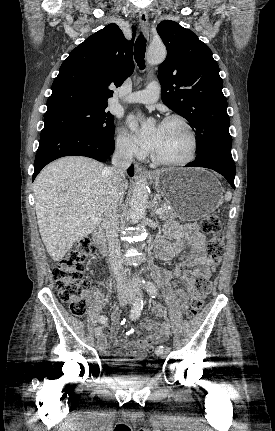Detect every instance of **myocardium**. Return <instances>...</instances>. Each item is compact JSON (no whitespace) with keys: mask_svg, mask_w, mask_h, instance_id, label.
<instances>
[{"mask_svg":"<svg viewBox=\"0 0 275 431\" xmlns=\"http://www.w3.org/2000/svg\"><path fill=\"white\" fill-rule=\"evenodd\" d=\"M177 122L181 124L184 129L187 131L189 139H190V149L188 155L177 161H168L160 158L154 151L151 154V158L154 163L164 167H181L190 164L196 157L198 151V139L197 135L191 126V124L182 116L179 115H171L164 119L163 124Z\"/></svg>","mask_w":275,"mask_h":431,"instance_id":"f54148a6","label":"myocardium"}]
</instances>
